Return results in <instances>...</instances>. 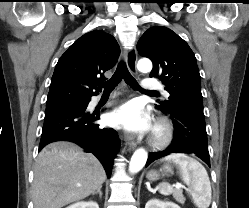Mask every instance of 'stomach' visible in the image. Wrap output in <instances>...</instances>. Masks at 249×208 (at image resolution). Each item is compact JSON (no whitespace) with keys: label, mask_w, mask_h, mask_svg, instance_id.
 I'll return each mask as SVG.
<instances>
[{"label":"stomach","mask_w":249,"mask_h":208,"mask_svg":"<svg viewBox=\"0 0 249 208\" xmlns=\"http://www.w3.org/2000/svg\"><path fill=\"white\" fill-rule=\"evenodd\" d=\"M163 170L166 171V172H170L171 171V167L169 165H165L163 167ZM147 179L150 180V181H156L159 179L160 177V174L155 171V170H151L147 173Z\"/></svg>","instance_id":"obj_1"}]
</instances>
